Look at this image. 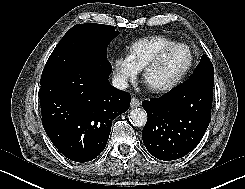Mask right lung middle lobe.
<instances>
[{
  "instance_id": "dd1d6c3e",
  "label": "right lung middle lobe",
  "mask_w": 245,
  "mask_h": 189,
  "mask_svg": "<svg viewBox=\"0 0 245 189\" xmlns=\"http://www.w3.org/2000/svg\"><path fill=\"white\" fill-rule=\"evenodd\" d=\"M117 35L116 27L110 25L89 23L73 26L47 60L40 85L57 79L87 58H107V46Z\"/></svg>"
}]
</instances>
